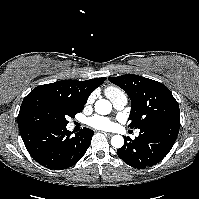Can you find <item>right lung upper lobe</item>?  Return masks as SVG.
<instances>
[{"instance_id": "1", "label": "right lung upper lobe", "mask_w": 199, "mask_h": 199, "mask_svg": "<svg viewBox=\"0 0 199 199\" xmlns=\"http://www.w3.org/2000/svg\"><path fill=\"white\" fill-rule=\"evenodd\" d=\"M106 78H95L85 81L66 80L40 85L27 95L22 107L28 102L43 103L53 98H61L73 105L84 106L89 95L99 87Z\"/></svg>"}]
</instances>
